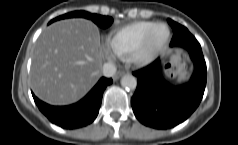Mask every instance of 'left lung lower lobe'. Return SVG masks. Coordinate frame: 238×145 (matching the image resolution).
<instances>
[{
    "instance_id": "left-lung-lower-lobe-1",
    "label": "left lung lower lobe",
    "mask_w": 238,
    "mask_h": 145,
    "mask_svg": "<svg viewBox=\"0 0 238 145\" xmlns=\"http://www.w3.org/2000/svg\"><path fill=\"white\" fill-rule=\"evenodd\" d=\"M168 23L173 29L171 47L187 49L195 70L188 83L177 87L161 76L159 59L133 73L137 77L133 112L142 124L155 129H169L185 121L199 106L206 86V63L199 42L184 26L171 19Z\"/></svg>"
}]
</instances>
